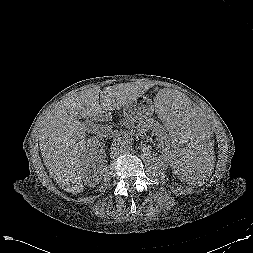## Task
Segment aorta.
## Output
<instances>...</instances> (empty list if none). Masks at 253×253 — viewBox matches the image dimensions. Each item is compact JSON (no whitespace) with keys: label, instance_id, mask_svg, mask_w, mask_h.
<instances>
[{"label":"aorta","instance_id":"aorta-1","mask_svg":"<svg viewBox=\"0 0 253 253\" xmlns=\"http://www.w3.org/2000/svg\"><path fill=\"white\" fill-rule=\"evenodd\" d=\"M119 148L122 152H129L132 150V143L129 140H122L119 143Z\"/></svg>","mask_w":253,"mask_h":253}]
</instances>
